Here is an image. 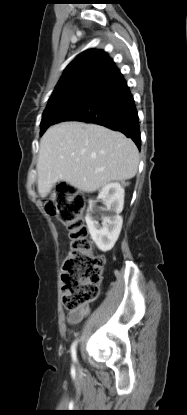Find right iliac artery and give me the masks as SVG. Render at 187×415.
I'll return each mask as SVG.
<instances>
[{"label":"right iliac artery","mask_w":187,"mask_h":415,"mask_svg":"<svg viewBox=\"0 0 187 415\" xmlns=\"http://www.w3.org/2000/svg\"><path fill=\"white\" fill-rule=\"evenodd\" d=\"M76 345H77V341H75V342L72 344V347H71V355H72V358H73V360H74V361H77V356H76Z\"/></svg>","instance_id":"right-iliac-artery-1"}]
</instances>
